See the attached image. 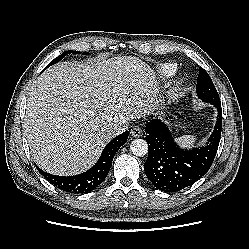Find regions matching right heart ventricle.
I'll return each instance as SVG.
<instances>
[{
	"label": "right heart ventricle",
	"mask_w": 249,
	"mask_h": 249,
	"mask_svg": "<svg viewBox=\"0 0 249 249\" xmlns=\"http://www.w3.org/2000/svg\"><path fill=\"white\" fill-rule=\"evenodd\" d=\"M176 71V66L174 64H163L159 67V72L163 77H170Z\"/></svg>",
	"instance_id": "1"
}]
</instances>
